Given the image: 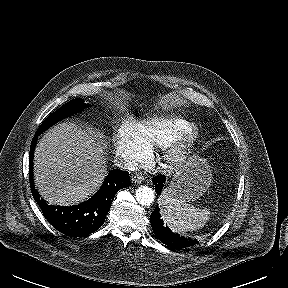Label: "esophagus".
Segmentation results:
<instances>
[{"instance_id":"esophagus-1","label":"esophagus","mask_w":288,"mask_h":288,"mask_svg":"<svg viewBox=\"0 0 288 288\" xmlns=\"http://www.w3.org/2000/svg\"><path fill=\"white\" fill-rule=\"evenodd\" d=\"M131 180H132V183L134 184H141L142 181L144 180V177L139 174H134Z\"/></svg>"}]
</instances>
